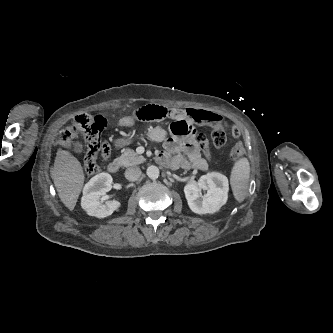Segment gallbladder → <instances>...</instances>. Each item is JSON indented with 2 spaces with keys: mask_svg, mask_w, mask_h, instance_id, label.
Returning a JSON list of instances; mask_svg holds the SVG:
<instances>
[{
  "mask_svg": "<svg viewBox=\"0 0 333 333\" xmlns=\"http://www.w3.org/2000/svg\"><path fill=\"white\" fill-rule=\"evenodd\" d=\"M76 150L80 152V151H81V148H80V147H77Z\"/></svg>",
  "mask_w": 333,
  "mask_h": 333,
  "instance_id": "bac80fb5",
  "label": "gallbladder"
}]
</instances>
